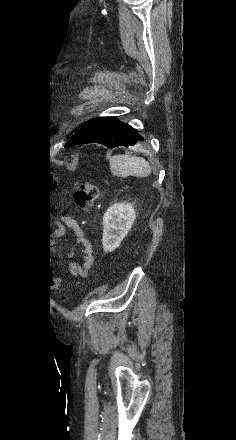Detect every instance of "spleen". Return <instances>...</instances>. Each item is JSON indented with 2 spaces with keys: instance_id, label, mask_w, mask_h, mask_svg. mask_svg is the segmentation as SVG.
Segmentation results:
<instances>
[{
  "instance_id": "1",
  "label": "spleen",
  "mask_w": 236,
  "mask_h": 440,
  "mask_svg": "<svg viewBox=\"0 0 236 440\" xmlns=\"http://www.w3.org/2000/svg\"><path fill=\"white\" fill-rule=\"evenodd\" d=\"M111 171L121 177L133 175L147 177L151 173V166L143 157L131 155H115L110 159Z\"/></svg>"
}]
</instances>
